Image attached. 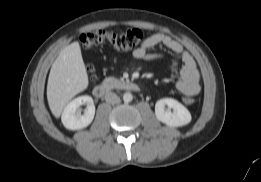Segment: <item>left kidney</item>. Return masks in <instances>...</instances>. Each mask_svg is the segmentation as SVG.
Wrapping results in <instances>:
<instances>
[{
    "label": "left kidney",
    "mask_w": 261,
    "mask_h": 182,
    "mask_svg": "<svg viewBox=\"0 0 261 182\" xmlns=\"http://www.w3.org/2000/svg\"><path fill=\"white\" fill-rule=\"evenodd\" d=\"M168 107L165 109V107ZM173 109V112H171ZM156 118L169 127H182L191 122L188 109L175 99L163 98L155 104Z\"/></svg>",
    "instance_id": "1"
}]
</instances>
